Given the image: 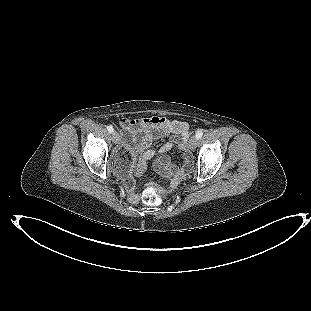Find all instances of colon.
I'll list each match as a JSON object with an SVG mask.
<instances>
[{
	"label": "colon",
	"instance_id": "5ec220e1",
	"mask_svg": "<svg viewBox=\"0 0 311 311\" xmlns=\"http://www.w3.org/2000/svg\"><path fill=\"white\" fill-rule=\"evenodd\" d=\"M123 154H127L124 152ZM127 161H124L119 168H124ZM168 195V191L156 185L149 186L142 194L143 201L151 206H157L161 203L162 199Z\"/></svg>",
	"mask_w": 311,
	"mask_h": 311
}]
</instances>
